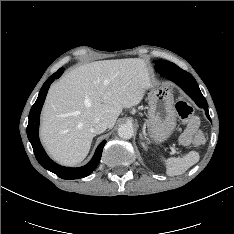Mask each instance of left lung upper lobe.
Wrapping results in <instances>:
<instances>
[{
  "instance_id": "left-lung-upper-lobe-1",
  "label": "left lung upper lobe",
  "mask_w": 234,
  "mask_h": 234,
  "mask_svg": "<svg viewBox=\"0 0 234 234\" xmlns=\"http://www.w3.org/2000/svg\"><path fill=\"white\" fill-rule=\"evenodd\" d=\"M154 62L156 63L155 69L160 73L162 77L166 73H177L182 70L177 65L169 61L155 60Z\"/></svg>"
}]
</instances>
